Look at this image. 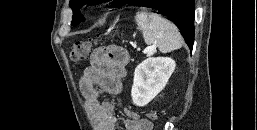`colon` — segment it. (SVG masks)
Here are the masks:
<instances>
[{
    "mask_svg": "<svg viewBox=\"0 0 257 130\" xmlns=\"http://www.w3.org/2000/svg\"><path fill=\"white\" fill-rule=\"evenodd\" d=\"M92 46L93 42L90 40L75 43L70 50V59L74 63H79L82 60H85L88 57ZM148 118L150 121H156L158 120L159 115L157 113H150Z\"/></svg>",
    "mask_w": 257,
    "mask_h": 130,
    "instance_id": "colon-1",
    "label": "colon"
}]
</instances>
